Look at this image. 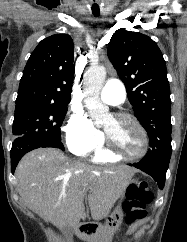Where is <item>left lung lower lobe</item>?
Listing matches in <instances>:
<instances>
[{"instance_id": "1", "label": "left lung lower lobe", "mask_w": 187, "mask_h": 242, "mask_svg": "<svg viewBox=\"0 0 187 242\" xmlns=\"http://www.w3.org/2000/svg\"><path fill=\"white\" fill-rule=\"evenodd\" d=\"M168 165L169 163H149L140 161L138 163L132 164L131 166H134L152 176L153 179L158 183L159 188L163 189Z\"/></svg>"}]
</instances>
